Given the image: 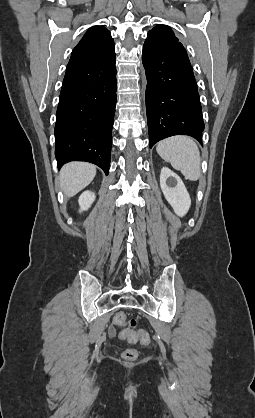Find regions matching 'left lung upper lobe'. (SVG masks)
Returning a JSON list of instances; mask_svg holds the SVG:
<instances>
[{
  "instance_id": "obj_1",
  "label": "left lung upper lobe",
  "mask_w": 255,
  "mask_h": 418,
  "mask_svg": "<svg viewBox=\"0 0 255 418\" xmlns=\"http://www.w3.org/2000/svg\"><path fill=\"white\" fill-rule=\"evenodd\" d=\"M145 41L152 42L159 46L181 44L178 41V38L174 35L172 29L166 25H157L154 27L148 32V36Z\"/></svg>"
}]
</instances>
